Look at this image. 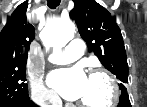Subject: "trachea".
<instances>
[{
  "instance_id": "1",
  "label": "trachea",
  "mask_w": 147,
  "mask_h": 107,
  "mask_svg": "<svg viewBox=\"0 0 147 107\" xmlns=\"http://www.w3.org/2000/svg\"><path fill=\"white\" fill-rule=\"evenodd\" d=\"M60 0H47V5L50 9H55L59 6Z\"/></svg>"
}]
</instances>
